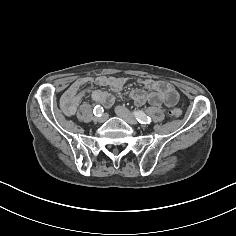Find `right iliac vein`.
Wrapping results in <instances>:
<instances>
[{
	"mask_svg": "<svg viewBox=\"0 0 236 236\" xmlns=\"http://www.w3.org/2000/svg\"><path fill=\"white\" fill-rule=\"evenodd\" d=\"M108 119V114H103L100 118H98L99 123H103Z\"/></svg>",
	"mask_w": 236,
	"mask_h": 236,
	"instance_id": "63e3f726",
	"label": "right iliac vein"
}]
</instances>
